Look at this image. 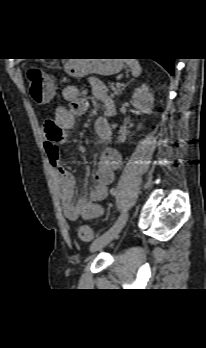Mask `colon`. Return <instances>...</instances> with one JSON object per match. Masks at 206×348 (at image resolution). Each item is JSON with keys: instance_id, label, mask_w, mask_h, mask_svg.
I'll use <instances>...</instances> for the list:
<instances>
[{"instance_id": "colon-1", "label": "colon", "mask_w": 206, "mask_h": 348, "mask_svg": "<svg viewBox=\"0 0 206 348\" xmlns=\"http://www.w3.org/2000/svg\"><path fill=\"white\" fill-rule=\"evenodd\" d=\"M26 80L31 96L34 99H45L47 94L53 89V84L47 79L43 70L38 67H32L27 70ZM49 120H46L44 126ZM78 236L82 241L90 242L93 239V231L89 226L82 225L78 229Z\"/></svg>"}]
</instances>
